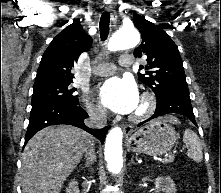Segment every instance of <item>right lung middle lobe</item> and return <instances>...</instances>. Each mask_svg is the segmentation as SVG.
<instances>
[{"label": "right lung middle lobe", "mask_w": 221, "mask_h": 193, "mask_svg": "<svg viewBox=\"0 0 221 193\" xmlns=\"http://www.w3.org/2000/svg\"><path fill=\"white\" fill-rule=\"evenodd\" d=\"M72 81L51 82L34 85L31 105H38L48 102L65 101L77 103L78 95H74L75 88H71Z\"/></svg>", "instance_id": "1"}]
</instances>
